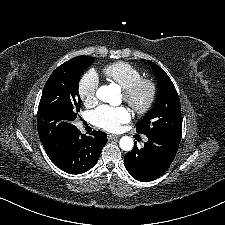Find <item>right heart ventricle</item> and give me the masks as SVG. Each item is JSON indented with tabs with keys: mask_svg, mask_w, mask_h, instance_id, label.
Returning <instances> with one entry per match:
<instances>
[{
	"mask_svg": "<svg viewBox=\"0 0 225 225\" xmlns=\"http://www.w3.org/2000/svg\"><path fill=\"white\" fill-rule=\"evenodd\" d=\"M104 75L123 90L142 77V72L128 62H114L103 68Z\"/></svg>",
	"mask_w": 225,
	"mask_h": 225,
	"instance_id": "1",
	"label": "right heart ventricle"
}]
</instances>
